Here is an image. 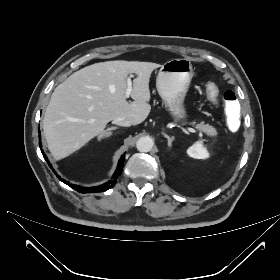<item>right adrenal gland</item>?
Listing matches in <instances>:
<instances>
[{"instance_id":"2a0ac1e0","label":"right adrenal gland","mask_w":280,"mask_h":280,"mask_svg":"<svg viewBox=\"0 0 280 280\" xmlns=\"http://www.w3.org/2000/svg\"><path fill=\"white\" fill-rule=\"evenodd\" d=\"M118 127H109L107 128L101 135H99V139L108 138L112 135V130H116Z\"/></svg>"}]
</instances>
